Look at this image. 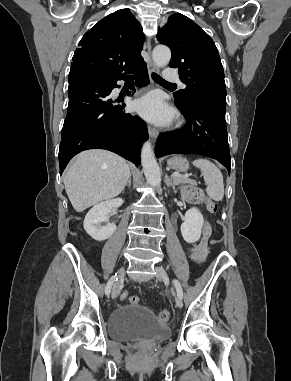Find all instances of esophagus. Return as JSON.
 I'll use <instances>...</instances> for the list:
<instances>
[{"label":"esophagus","instance_id":"esophagus-1","mask_svg":"<svg viewBox=\"0 0 291 381\" xmlns=\"http://www.w3.org/2000/svg\"><path fill=\"white\" fill-rule=\"evenodd\" d=\"M147 50H148V53L149 55L151 54V43H150V40H147ZM147 68H148V71L149 73H153V72H158L159 69L157 68V66L153 63L152 60H150L147 64ZM148 133L150 135V137L152 139H156L159 135V131L152 127L151 125L148 126Z\"/></svg>","mask_w":291,"mask_h":381}]
</instances>
